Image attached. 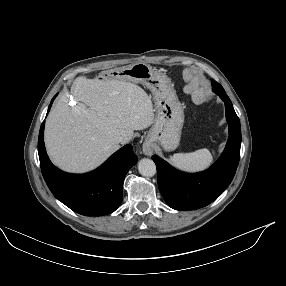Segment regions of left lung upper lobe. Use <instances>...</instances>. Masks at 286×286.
Returning a JSON list of instances; mask_svg holds the SVG:
<instances>
[{
	"mask_svg": "<svg viewBox=\"0 0 286 286\" xmlns=\"http://www.w3.org/2000/svg\"><path fill=\"white\" fill-rule=\"evenodd\" d=\"M212 87H213V91L218 95L225 93L223 87L214 80L212 81Z\"/></svg>",
	"mask_w": 286,
	"mask_h": 286,
	"instance_id": "left-lung-upper-lobe-1",
	"label": "left lung upper lobe"
}]
</instances>
